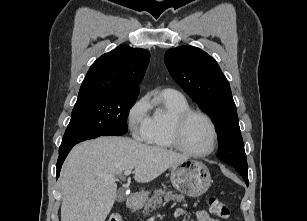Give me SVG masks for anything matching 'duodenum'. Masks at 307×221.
<instances>
[{
    "label": "duodenum",
    "instance_id": "obj_1",
    "mask_svg": "<svg viewBox=\"0 0 307 221\" xmlns=\"http://www.w3.org/2000/svg\"><path fill=\"white\" fill-rule=\"evenodd\" d=\"M140 202H141V195L133 194L132 196L129 197L127 205L129 209L137 210L139 209Z\"/></svg>",
    "mask_w": 307,
    "mask_h": 221
}]
</instances>
